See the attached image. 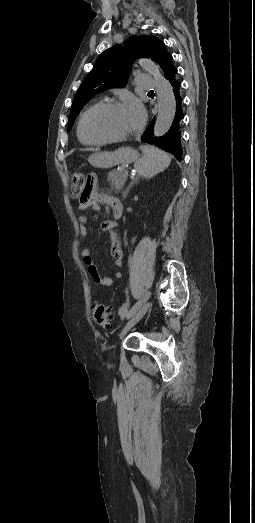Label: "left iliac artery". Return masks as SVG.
<instances>
[{"label": "left iliac artery", "mask_w": 255, "mask_h": 523, "mask_svg": "<svg viewBox=\"0 0 255 523\" xmlns=\"http://www.w3.org/2000/svg\"><path fill=\"white\" fill-rule=\"evenodd\" d=\"M151 295V292H148L141 300H139L128 312L127 314V318H131L135 313L136 311L143 305V303H145L148 298L150 297Z\"/></svg>", "instance_id": "44dca946"}]
</instances>
